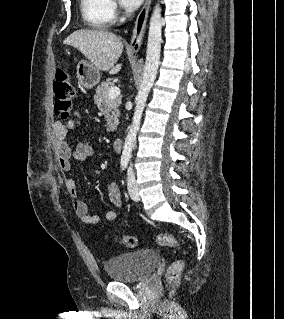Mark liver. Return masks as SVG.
Here are the masks:
<instances>
[{"label": "liver", "mask_w": 284, "mask_h": 319, "mask_svg": "<svg viewBox=\"0 0 284 319\" xmlns=\"http://www.w3.org/2000/svg\"><path fill=\"white\" fill-rule=\"evenodd\" d=\"M64 44L77 48L98 70L114 75L121 70L116 64L123 52L121 38L106 30L80 29L70 34Z\"/></svg>", "instance_id": "6515ba94"}]
</instances>
